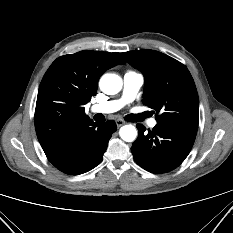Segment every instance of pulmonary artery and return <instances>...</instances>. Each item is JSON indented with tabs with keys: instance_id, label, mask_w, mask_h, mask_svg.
Wrapping results in <instances>:
<instances>
[{
	"instance_id": "obj_1",
	"label": "pulmonary artery",
	"mask_w": 233,
	"mask_h": 233,
	"mask_svg": "<svg viewBox=\"0 0 233 233\" xmlns=\"http://www.w3.org/2000/svg\"><path fill=\"white\" fill-rule=\"evenodd\" d=\"M143 85V77L134 72H128L123 79V94L118 100H111L104 103L96 104L92 107V112L110 114L120 110L125 104L134 100L140 88ZM156 119L152 118L148 121L150 127H155Z\"/></svg>"
}]
</instances>
